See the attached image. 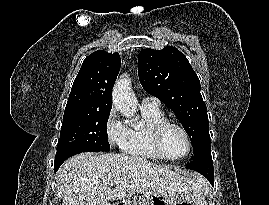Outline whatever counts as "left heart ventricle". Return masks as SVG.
<instances>
[{"label":"left heart ventricle","instance_id":"obj_1","mask_svg":"<svg viewBox=\"0 0 269 205\" xmlns=\"http://www.w3.org/2000/svg\"><path fill=\"white\" fill-rule=\"evenodd\" d=\"M163 147L166 153L172 157H180L187 151V141L176 127H169L163 135Z\"/></svg>","mask_w":269,"mask_h":205}]
</instances>
